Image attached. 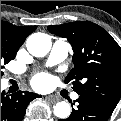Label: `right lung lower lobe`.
Listing matches in <instances>:
<instances>
[{
	"label": "right lung lower lobe",
	"instance_id": "98d812e1",
	"mask_svg": "<svg viewBox=\"0 0 121 121\" xmlns=\"http://www.w3.org/2000/svg\"><path fill=\"white\" fill-rule=\"evenodd\" d=\"M38 97L41 96L27 91H18L10 96L1 92V121H22L28 104Z\"/></svg>",
	"mask_w": 121,
	"mask_h": 121
}]
</instances>
